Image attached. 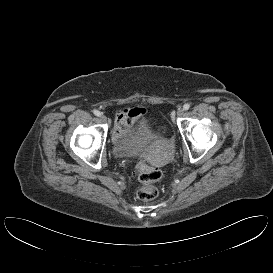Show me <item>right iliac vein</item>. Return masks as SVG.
Wrapping results in <instances>:
<instances>
[{
	"label": "right iliac vein",
	"instance_id": "1",
	"mask_svg": "<svg viewBox=\"0 0 273 273\" xmlns=\"http://www.w3.org/2000/svg\"><path fill=\"white\" fill-rule=\"evenodd\" d=\"M100 119L103 123L107 122V117L105 115H100Z\"/></svg>",
	"mask_w": 273,
	"mask_h": 273
}]
</instances>
